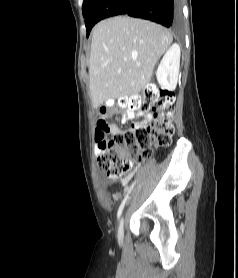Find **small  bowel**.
<instances>
[{"mask_svg": "<svg viewBox=\"0 0 238 278\" xmlns=\"http://www.w3.org/2000/svg\"><path fill=\"white\" fill-rule=\"evenodd\" d=\"M135 116L141 118V120L133 125V129L144 127L148 123V121L150 120V116L146 115L143 112H140V111L133 112V111H129V110L124 112V113H121L120 114V119H121L122 122H125L127 120H130V119L134 118ZM107 117H108V113L105 109L101 113H99L98 119H102L106 122ZM108 127L109 128H108L107 133L116 134V133L120 132V130L115 126H109L108 125ZM97 142H98V155H101L102 149L99 145V140L98 139H97ZM130 179H131V176L125 178L123 180V183L126 184ZM114 198L118 199L119 195L118 194L114 195Z\"/></svg>", "mask_w": 238, "mask_h": 278, "instance_id": "obj_1", "label": "small bowel"}]
</instances>
